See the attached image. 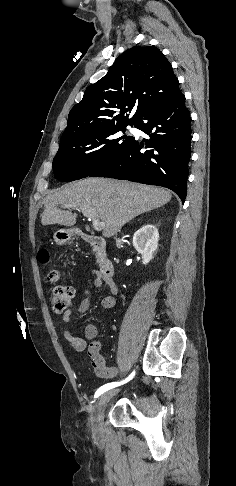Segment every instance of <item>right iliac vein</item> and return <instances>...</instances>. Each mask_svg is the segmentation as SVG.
<instances>
[{
    "label": "right iliac vein",
    "mask_w": 236,
    "mask_h": 486,
    "mask_svg": "<svg viewBox=\"0 0 236 486\" xmlns=\"http://www.w3.org/2000/svg\"><path fill=\"white\" fill-rule=\"evenodd\" d=\"M117 393V390L105 392L100 396L95 404L94 412L91 418L92 430L95 438H100L103 434L104 410L110 399Z\"/></svg>",
    "instance_id": "obj_1"
}]
</instances>
